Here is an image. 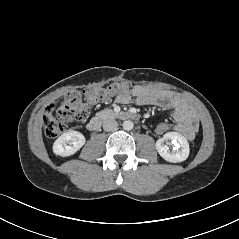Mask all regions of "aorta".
<instances>
[{
	"instance_id": "obj_1",
	"label": "aorta",
	"mask_w": 239,
	"mask_h": 239,
	"mask_svg": "<svg viewBox=\"0 0 239 239\" xmlns=\"http://www.w3.org/2000/svg\"><path fill=\"white\" fill-rule=\"evenodd\" d=\"M122 126H123V129H124V130H126V131H130V130L133 129L134 124H133L132 121L127 120V121H124V122H123V125H122Z\"/></svg>"
}]
</instances>
